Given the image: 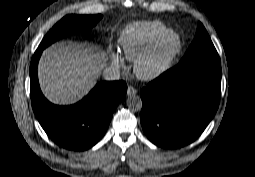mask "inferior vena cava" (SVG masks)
<instances>
[{"label": "inferior vena cava", "mask_w": 255, "mask_h": 177, "mask_svg": "<svg viewBox=\"0 0 255 177\" xmlns=\"http://www.w3.org/2000/svg\"><path fill=\"white\" fill-rule=\"evenodd\" d=\"M103 78L107 81H114L120 79V70L114 65L106 67L103 71Z\"/></svg>", "instance_id": "inferior-vena-cava-1"}]
</instances>
